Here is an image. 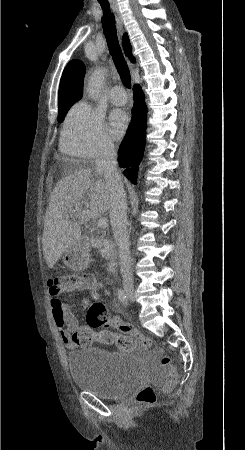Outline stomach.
<instances>
[{
    "label": "stomach",
    "instance_id": "0dacf381",
    "mask_svg": "<svg viewBox=\"0 0 245 450\" xmlns=\"http://www.w3.org/2000/svg\"><path fill=\"white\" fill-rule=\"evenodd\" d=\"M62 259L66 266L74 270H81L89 262V253L80 244L76 243L64 253Z\"/></svg>",
    "mask_w": 245,
    "mask_h": 450
}]
</instances>
